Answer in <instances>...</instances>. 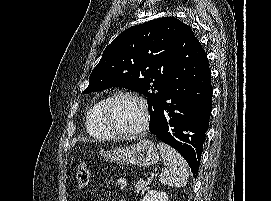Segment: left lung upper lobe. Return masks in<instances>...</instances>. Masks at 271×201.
<instances>
[{
    "instance_id": "5c2ea615",
    "label": "left lung upper lobe",
    "mask_w": 271,
    "mask_h": 201,
    "mask_svg": "<svg viewBox=\"0 0 271 201\" xmlns=\"http://www.w3.org/2000/svg\"><path fill=\"white\" fill-rule=\"evenodd\" d=\"M184 27L189 26L177 18L164 17L128 28L105 48L83 93L112 87L142 93L148 97L153 125L168 89Z\"/></svg>"
}]
</instances>
